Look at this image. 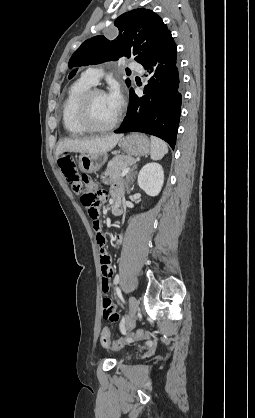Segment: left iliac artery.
I'll return each instance as SVG.
<instances>
[{
    "mask_svg": "<svg viewBox=\"0 0 255 418\" xmlns=\"http://www.w3.org/2000/svg\"><path fill=\"white\" fill-rule=\"evenodd\" d=\"M116 285H117V284H116ZM115 290H116V292L118 293V296L122 298L120 288L116 286Z\"/></svg>",
    "mask_w": 255,
    "mask_h": 418,
    "instance_id": "1",
    "label": "left iliac artery"
}]
</instances>
